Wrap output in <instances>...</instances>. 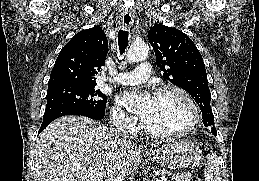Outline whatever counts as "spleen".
Segmentation results:
<instances>
[{
	"label": "spleen",
	"mask_w": 259,
	"mask_h": 181,
	"mask_svg": "<svg viewBox=\"0 0 259 181\" xmlns=\"http://www.w3.org/2000/svg\"><path fill=\"white\" fill-rule=\"evenodd\" d=\"M205 181H221L220 180V162L214 151H210L205 160Z\"/></svg>",
	"instance_id": "1"
}]
</instances>
